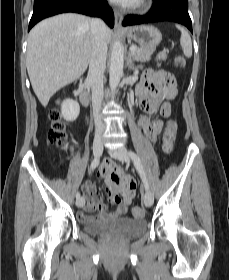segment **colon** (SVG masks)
<instances>
[{
    "mask_svg": "<svg viewBox=\"0 0 229 280\" xmlns=\"http://www.w3.org/2000/svg\"><path fill=\"white\" fill-rule=\"evenodd\" d=\"M178 65L183 66L185 64V58L183 56H178L176 58ZM157 77L160 82L167 87L171 92L176 88V79L174 75L167 71H158ZM59 103V100L57 101ZM49 118L51 120V126L48 130V141L56 147H64L67 141L66 127L62 121V115L58 109H52L49 113ZM177 123L175 120H169L165 126L163 132V149L165 152H171L175 146L177 139ZM111 180L115 184H119L123 177L117 173L111 174ZM133 215L135 217L141 218L145 215L144 210L140 207L133 209Z\"/></svg>",
    "mask_w": 229,
    "mask_h": 280,
    "instance_id": "colon-1",
    "label": "colon"
}]
</instances>
